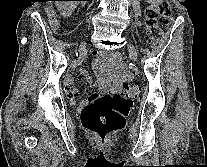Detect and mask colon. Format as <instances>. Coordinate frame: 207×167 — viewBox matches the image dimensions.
<instances>
[{
	"instance_id": "5ec220e1",
	"label": "colon",
	"mask_w": 207,
	"mask_h": 167,
	"mask_svg": "<svg viewBox=\"0 0 207 167\" xmlns=\"http://www.w3.org/2000/svg\"><path fill=\"white\" fill-rule=\"evenodd\" d=\"M172 8L168 0H156L145 10L146 27L149 40L158 42L162 37V25L168 21ZM53 23L55 19L52 14ZM114 57L119 59V55ZM140 94V87L129 82L124 83L122 93H107L87 105L81 114L83 127L99 139H107L113 132L124 127L133 99Z\"/></svg>"
}]
</instances>
